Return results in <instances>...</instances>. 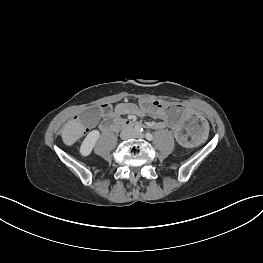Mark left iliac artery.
I'll return each instance as SVG.
<instances>
[{
	"instance_id": "obj_1",
	"label": "left iliac artery",
	"mask_w": 263,
	"mask_h": 263,
	"mask_svg": "<svg viewBox=\"0 0 263 263\" xmlns=\"http://www.w3.org/2000/svg\"><path fill=\"white\" fill-rule=\"evenodd\" d=\"M145 136H146L147 140H149V141H151L153 139V135L150 133H146Z\"/></svg>"
}]
</instances>
